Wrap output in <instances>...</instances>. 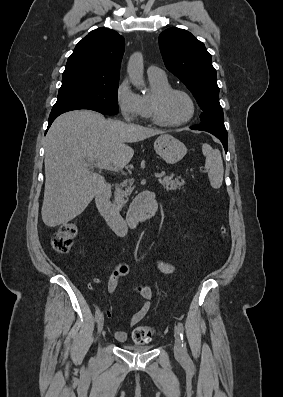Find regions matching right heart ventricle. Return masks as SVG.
Returning a JSON list of instances; mask_svg holds the SVG:
<instances>
[{
  "mask_svg": "<svg viewBox=\"0 0 283 397\" xmlns=\"http://www.w3.org/2000/svg\"><path fill=\"white\" fill-rule=\"evenodd\" d=\"M149 83L151 86V93L148 95L140 96L144 109L145 118H151V101L153 97L159 92L171 87V84L166 77L164 78L149 77Z\"/></svg>",
  "mask_w": 283,
  "mask_h": 397,
  "instance_id": "1",
  "label": "right heart ventricle"
}]
</instances>
